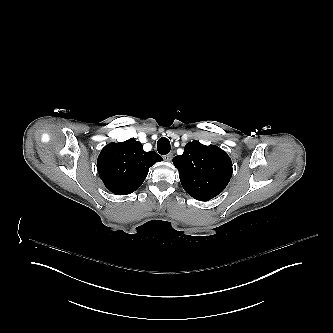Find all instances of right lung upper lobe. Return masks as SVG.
Here are the masks:
<instances>
[{
    "mask_svg": "<svg viewBox=\"0 0 333 333\" xmlns=\"http://www.w3.org/2000/svg\"><path fill=\"white\" fill-rule=\"evenodd\" d=\"M162 157L156 152H145L142 144L131 138L124 142L109 143L100 152L97 169L108 190L127 195L139 188L149 168Z\"/></svg>",
    "mask_w": 333,
    "mask_h": 333,
    "instance_id": "right-lung-upper-lobe-1",
    "label": "right lung upper lobe"
}]
</instances>
